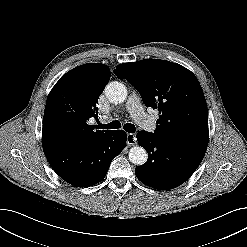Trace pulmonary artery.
I'll use <instances>...</instances> for the list:
<instances>
[{
	"instance_id": "obj_1",
	"label": "pulmonary artery",
	"mask_w": 247,
	"mask_h": 247,
	"mask_svg": "<svg viewBox=\"0 0 247 247\" xmlns=\"http://www.w3.org/2000/svg\"><path fill=\"white\" fill-rule=\"evenodd\" d=\"M126 110L145 131L150 133L155 131V123L153 119L145 113L141 100L136 93L133 92L130 94L126 102Z\"/></svg>"
}]
</instances>
